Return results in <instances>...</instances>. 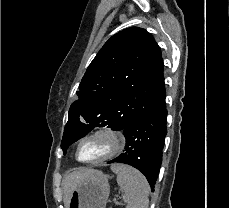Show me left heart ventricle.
I'll return each mask as SVG.
<instances>
[{"instance_id": "obj_1", "label": "left heart ventricle", "mask_w": 229, "mask_h": 208, "mask_svg": "<svg viewBox=\"0 0 229 208\" xmlns=\"http://www.w3.org/2000/svg\"><path fill=\"white\" fill-rule=\"evenodd\" d=\"M98 134H101L100 132ZM116 147H104L103 143H83L79 148V157L82 160H94L101 158L112 151H114Z\"/></svg>"}]
</instances>
